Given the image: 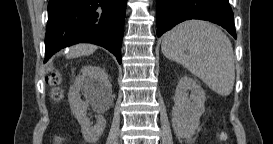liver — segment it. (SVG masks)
<instances>
[{"mask_svg": "<svg viewBox=\"0 0 273 144\" xmlns=\"http://www.w3.org/2000/svg\"><path fill=\"white\" fill-rule=\"evenodd\" d=\"M97 49L96 45L89 44V43H81L74 46H71L69 52L67 54V58H76L83 55H91Z\"/></svg>", "mask_w": 273, "mask_h": 144, "instance_id": "6515ba94", "label": "liver"}]
</instances>
